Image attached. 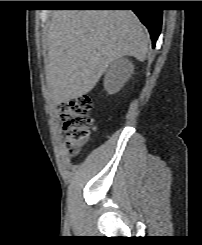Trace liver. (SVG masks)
Wrapping results in <instances>:
<instances>
[{"label":"liver","mask_w":202,"mask_h":245,"mask_svg":"<svg viewBox=\"0 0 202 245\" xmlns=\"http://www.w3.org/2000/svg\"><path fill=\"white\" fill-rule=\"evenodd\" d=\"M46 42L47 85L61 104L90 92L115 60H145L150 38L130 10H57Z\"/></svg>","instance_id":"liver-1"}]
</instances>
